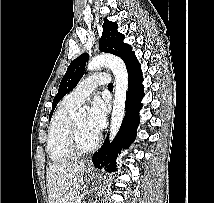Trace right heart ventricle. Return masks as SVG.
<instances>
[{
    "instance_id": "e07e8e85",
    "label": "right heart ventricle",
    "mask_w": 214,
    "mask_h": 203,
    "mask_svg": "<svg viewBox=\"0 0 214 203\" xmlns=\"http://www.w3.org/2000/svg\"><path fill=\"white\" fill-rule=\"evenodd\" d=\"M78 105L69 101L66 96L52 117L48 128L47 152L55 163H66L75 158L68 146V132L71 113Z\"/></svg>"
}]
</instances>
